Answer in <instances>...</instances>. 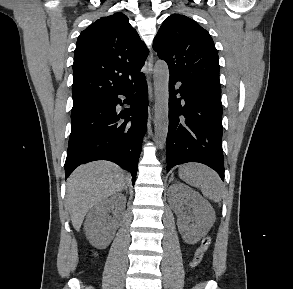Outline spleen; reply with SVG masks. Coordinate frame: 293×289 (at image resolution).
<instances>
[{"label":"spleen","instance_id":"1","mask_svg":"<svg viewBox=\"0 0 293 289\" xmlns=\"http://www.w3.org/2000/svg\"><path fill=\"white\" fill-rule=\"evenodd\" d=\"M179 176L189 185L199 188L202 194L214 201L220 202L224 194V186L215 171L199 163H189L180 166Z\"/></svg>","mask_w":293,"mask_h":289}]
</instances>
